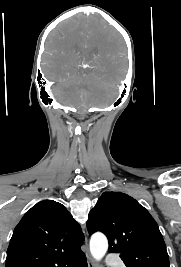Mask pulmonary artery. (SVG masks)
Segmentation results:
<instances>
[{
    "label": "pulmonary artery",
    "mask_w": 181,
    "mask_h": 267,
    "mask_svg": "<svg viewBox=\"0 0 181 267\" xmlns=\"http://www.w3.org/2000/svg\"><path fill=\"white\" fill-rule=\"evenodd\" d=\"M106 262H107L108 265H116L117 267H124L122 265V262L119 259L114 258L112 256H109L107 258Z\"/></svg>",
    "instance_id": "1"
}]
</instances>
